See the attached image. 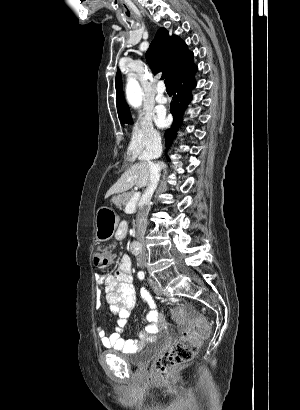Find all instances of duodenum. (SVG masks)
<instances>
[{"label": "duodenum", "mask_w": 300, "mask_h": 410, "mask_svg": "<svg viewBox=\"0 0 300 410\" xmlns=\"http://www.w3.org/2000/svg\"><path fill=\"white\" fill-rule=\"evenodd\" d=\"M137 241H138V240L133 241V242L131 243V245H130L131 252H132L134 255H139V254H140V250H141L140 245L138 244Z\"/></svg>", "instance_id": "obj_1"}]
</instances>
